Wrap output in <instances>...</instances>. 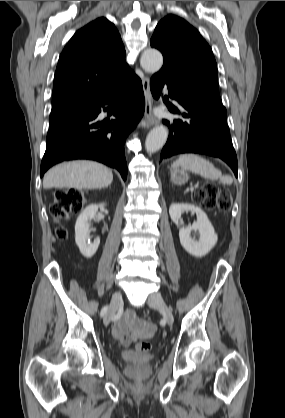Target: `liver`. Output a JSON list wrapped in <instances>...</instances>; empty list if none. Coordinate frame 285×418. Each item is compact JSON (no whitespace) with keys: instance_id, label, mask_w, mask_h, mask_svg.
Segmentation results:
<instances>
[{"instance_id":"1","label":"liver","mask_w":285,"mask_h":418,"mask_svg":"<svg viewBox=\"0 0 285 418\" xmlns=\"http://www.w3.org/2000/svg\"><path fill=\"white\" fill-rule=\"evenodd\" d=\"M113 181V173L106 166L93 161H73L51 168L43 178V187L101 189Z\"/></svg>"}]
</instances>
